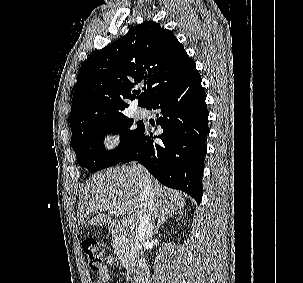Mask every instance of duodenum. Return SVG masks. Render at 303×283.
I'll return each instance as SVG.
<instances>
[{"mask_svg":"<svg viewBox=\"0 0 303 283\" xmlns=\"http://www.w3.org/2000/svg\"><path fill=\"white\" fill-rule=\"evenodd\" d=\"M111 234L118 237L122 234V227L120 223L113 222L110 225ZM149 266L146 262H142L132 277V283H148L149 280Z\"/></svg>","mask_w":303,"mask_h":283,"instance_id":"obj_1","label":"duodenum"}]
</instances>
